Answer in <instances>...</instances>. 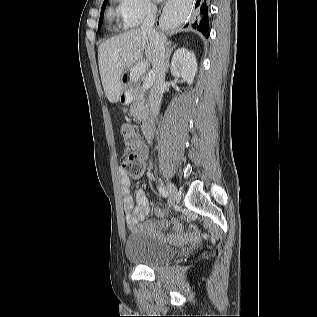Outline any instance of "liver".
<instances>
[{
	"label": "liver",
	"mask_w": 317,
	"mask_h": 317,
	"mask_svg": "<svg viewBox=\"0 0 317 317\" xmlns=\"http://www.w3.org/2000/svg\"><path fill=\"white\" fill-rule=\"evenodd\" d=\"M164 45L169 44L164 34L160 35ZM143 54L152 64L154 72L155 53L147 34L141 29H131L114 36L98 47V64L102 85L109 102L116 103L123 93L122 75L135 65L136 75L139 77L147 67V63L140 62Z\"/></svg>",
	"instance_id": "6515ba94"
}]
</instances>
